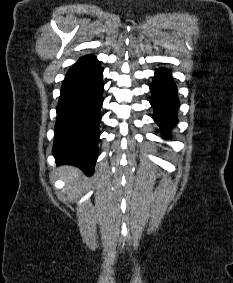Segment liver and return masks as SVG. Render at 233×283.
Masks as SVG:
<instances>
[{
  "mask_svg": "<svg viewBox=\"0 0 233 283\" xmlns=\"http://www.w3.org/2000/svg\"><path fill=\"white\" fill-rule=\"evenodd\" d=\"M62 177L67 182V188L71 191H75L79 188V179L81 177V172L79 169L70 166H63L60 169Z\"/></svg>",
  "mask_w": 233,
  "mask_h": 283,
  "instance_id": "liver-1",
  "label": "liver"
}]
</instances>
